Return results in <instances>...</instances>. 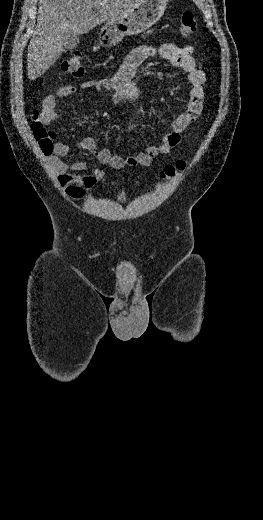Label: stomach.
<instances>
[{"mask_svg":"<svg viewBox=\"0 0 263 520\" xmlns=\"http://www.w3.org/2000/svg\"><path fill=\"white\" fill-rule=\"evenodd\" d=\"M169 0H143L139 5L107 21L99 31V44L111 47L125 36L138 35L154 25L164 14Z\"/></svg>","mask_w":263,"mask_h":520,"instance_id":"0dacf381","label":"stomach"}]
</instances>
